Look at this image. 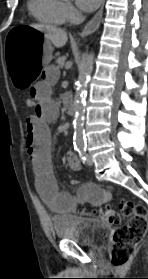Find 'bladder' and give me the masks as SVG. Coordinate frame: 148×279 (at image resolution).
I'll use <instances>...</instances> for the list:
<instances>
[{
	"mask_svg": "<svg viewBox=\"0 0 148 279\" xmlns=\"http://www.w3.org/2000/svg\"><path fill=\"white\" fill-rule=\"evenodd\" d=\"M52 224L60 240L72 241L81 246L96 247L104 242L109 234V225L91 218L73 215H58Z\"/></svg>",
	"mask_w": 148,
	"mask_h": 279,
	"instance_id": "31cf9c89",
	"label": "bladder"
}]
</instances>
